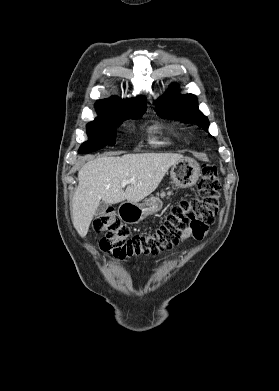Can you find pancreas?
I'll list each match as a JSON object with an SVG mask.
<instances>
[{"label": "pancreas", "instance_id": "cf45deb5", "mask_svg": "<svg viewBox=\"0 0 279 391\" xmlns=\"http://www.w3.org/2000/svg\"><path fill=\"white\" fill-rule=\"evenodd\" d=\"M161 196H162V197H165V196H166V194H165L164 192H162V193H161Z\"/></svg>", "mask_w": 279, "mask_h": 391}]
</instances>
